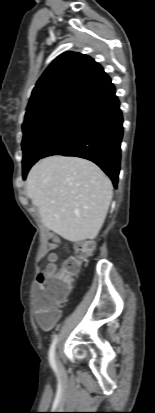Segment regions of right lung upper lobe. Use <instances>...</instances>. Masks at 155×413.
<instances>
[{
  "instance_id": "cb5924a9",
  "label": "right lung upper lobe",
  "mask_w": 155,
  "mask_h": 413,
  "mask_svg": "<svg viewBox=\"0 0 155 413\" xmlns=\"http://www.w3.org/2000/svg\"><path fill=\"white\" fill-rule=\"evenodd\" d=\"M111 79L91 57L74 52L59 55L45 70L33 89L24 124L67 104H80Z\"/></svg>"
}]
</instances>
